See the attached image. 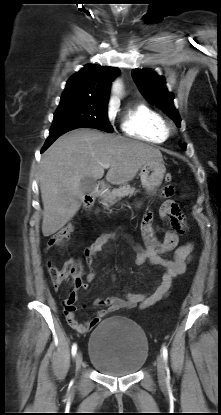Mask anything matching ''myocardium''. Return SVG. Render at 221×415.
Masks as SVG:
<instances>
[{
	"label": "myocardium",
	"mask_w": 221,
	"mask_h": 415,
	"mask_svg": "<svg viewBox=\"0 0 221 415\" xmlns=\"http://www.w3.org/2000/svg\"><path fill=\"white\" fill-rule=\"evenodd\" d=\"M166 129L170 132L173 129V125L171 123L166 122Z\"/></svg>",
	"instance_id": "obj_1"
}]
</instances>
